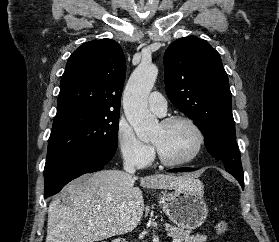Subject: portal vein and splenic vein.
I'll list each match as a JSON object with an SVG mask.
<instances>
[{
  "label": "portal vein and splenic vein",
  "mask_w": 279,
  "mask_h": 242,
  "mask_svg": "<svg viewBox=\"0 0 279 242\" xmlns=\"http://www.w3.org/2000/svg\"><path fill=\"white\" fill-rule=\"evenodd\" d=\"M173 242H181L180 239H174Z\"/></svg>",
  "instance_id": "18ae733b"
}]
</instances>
